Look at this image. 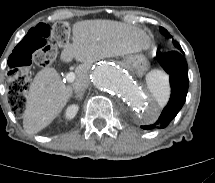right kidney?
Masks as SVG:
<instances>
[{"instance_id": "obj_1", "label": "right kidney", "mask_w": 215, "mask_h": 183, "mask_svg": "<svg viewBox=\"0 0 215 183\" xmlns=\"http://www.w3.org/2000/svg\"><path fill=\"white\" fill-rule=\"evenodd\" d=\"M78 109H79V107L76 104H72V105L68 106L65 111V118L68 120L73 119L76 116Z\"/></svg>"}]
</instances>
